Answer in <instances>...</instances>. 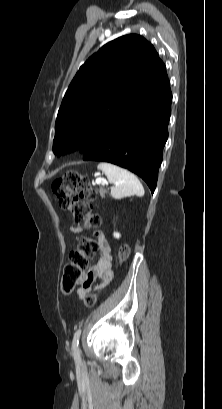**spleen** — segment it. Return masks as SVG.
<instances>
[{"label": "spleen", "instance_id": "3e777b00", "mask_svg": "<svg viewBox=\"0 0 222 409\" xmlns=\"http://www.w3.org/2000/svg\"><path fill=\"white\" fill-rule=\"evenodd\" d=\"M98 169L105 173L108 181L114 184L111 188V196L114 199H122L136 195L142 197L144 188L138 178L131 172L116 165L101 162Z\"/></svg>", "mask_w": 222, "mask_h": 409}]
</instances>
